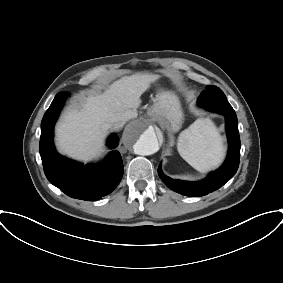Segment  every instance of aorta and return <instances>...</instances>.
<instances>
[{
  "instance_id": "762f6f07",
  "label": "aorta",
  "mask_w": 283,
  "mask_h": 283,
  "mask_svg": "<svg viewBox=\"0 0 283 283\" xmlns=\"http://www.w3.org/2000/svg\"><path fill=\"white\" fill-rule=\"evenodd\" d=\"M123 142L134 153L142 156L152 155L159 150L155 128L146 121L131 123L123 134Z\"/></svg>"
}]
</instances>
